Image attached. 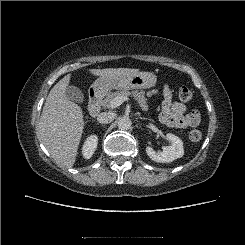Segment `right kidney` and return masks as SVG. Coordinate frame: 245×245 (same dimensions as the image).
Instances as JSON below:
<instances>
[{
  "mask_svg": "<svg viewBox=\"0 0 245 245\" xmlns=\"http://www.w3.org/2000/svg\"><path fill=\"white\" fill-rule=\"evenodd\" d=\"M98 144V137L91 135L88 137L83 145L82 154L85 159H89L94 154Z\"/></svg>",
  "mask_w": 245,
  "mask_h": 245,
  "instance_id": "obj_1",
  "label": "right kidney"
}]
</instances>
